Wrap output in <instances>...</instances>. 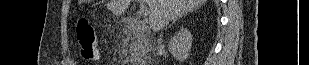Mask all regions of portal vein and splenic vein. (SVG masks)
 <instances>
[{
    "label": "portal vein and splenic vein",
    "mask_w": 309,
    "mask_h": 65,
    "mask_svg": "<svg viewBox=\"0 0 309 65\" xmlns=\"http://www.w3.org/2000/svg\"><path fill=\"white\" fill-rule=\"evenodd\" d=\"M149 13H150V9H148V7H147L144 3H142V4H141V14H142L144 17H146V16L149 15Z\"/></svg>",
    "instance_id": "18ae733b"
}]
</instances>
